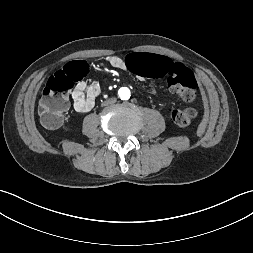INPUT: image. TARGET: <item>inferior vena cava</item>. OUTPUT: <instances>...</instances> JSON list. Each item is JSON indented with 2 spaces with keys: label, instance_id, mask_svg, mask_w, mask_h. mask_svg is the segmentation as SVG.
<instances>
[{
  "label": "inferior vena cava",
  "instance_id": "602c4592",
  "mask_svg": "<svg viewBox=\"0 0 253 253\" xmlns=\"http://www.w3.org/2000/svg\"><path fill=\"white\" fill-rule=\"evenodd\" d=\"M116 99L115 98H107V99H103V100H101V105H103V106H106V105H110V104H116Z\"/></svg>",
  "mask_w": 253,
  "mask_h": 253
}]
</instances>
